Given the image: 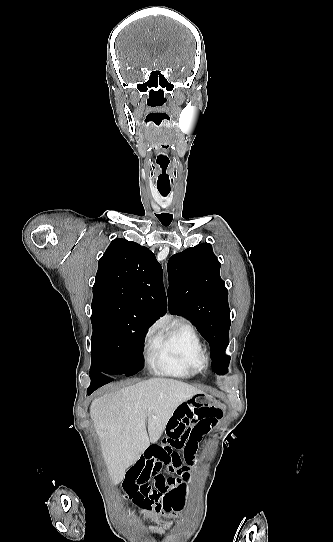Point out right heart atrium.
Masks as SVG:
<instances>
[{
  "mask_svg": "<svg viewBox=\"0 0 333 542\" xmlns=\"http://www.w3.org/2000/svg\"><path fill=\"white\" fill-rule=\"evenodd\" d=\"M153 330H150L149 333H148V337L151 338L153 336Z\"/></svg>",
  "mask_w": 333,
  "mask_h": 542,
  "instance_id": "right-heart-atrium-1",
  "label": "right heart atrium"
}]
</instances>
